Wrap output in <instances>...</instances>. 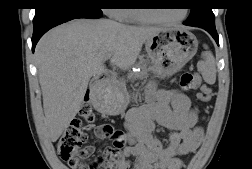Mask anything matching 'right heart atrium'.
I'll return each instance as SVG.
<instances>
[{"label":"right heart atrium","instance_id":"obj_1","mask_svg":"<svg viewBox=\"0 0 252 169\" xmlns=\"http://www.w3.org/2000/svg\"><path fill=\"white\" fill-rule=\"evenodd\" d=\"M124 10L120 8H114V9H106V13L109 17L115 20H123L124 17Z\"/></svg>","mask_w":252,"mask_h":169}]
</instances>
